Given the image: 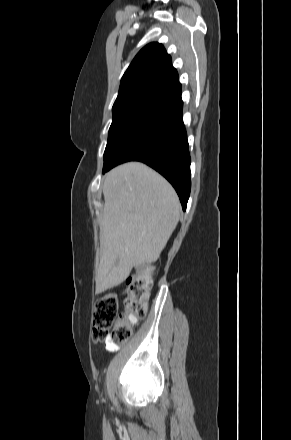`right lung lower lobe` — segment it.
Here are the masks:
<instances>
[{
    "instance_id": "obj_1",
    "label": "right lung lower lobe",
    "mask_w": 291,
    "mask_h": 440,
    "mask_svg": "<svg viewBox=\"0 0 291 440\" xmlns=\"http://www.w3.org/2000/svg\"><path fill=\"white\" fill-rule=\"evenodd\" d=\"M181 84L155 98L106 170L128 161L143 162L162 174L177 191L183 210L190 195V154L182 118Z\"/></svg>"
}]
</instances>
